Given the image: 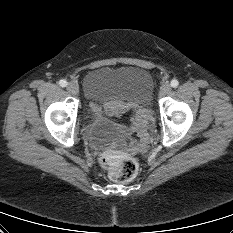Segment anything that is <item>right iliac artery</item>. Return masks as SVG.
Returning a JSON list of instances; mask_svg holds the SVG:
<instances>
[{
    "mask_svg": "<svg viewBox=\"0 0 233 233\" xmlns=\"http://www.w3.org/2000/svg\"><path fill=\"white\" fill-rule=\"evenodd\" d=\"M59 85H60L61 87H66V86H67V81L64 80V79H62V80L59 81Z\"/></svg>",
    "mask_w": 233,
    "mask_h": 233,
    "instance_id": "obj_1",
    "label": "right iliac artery"
}]
</instances>
